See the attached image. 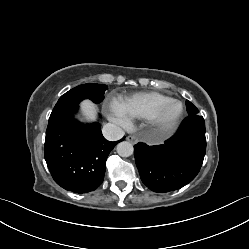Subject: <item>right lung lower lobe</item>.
Here are the masks:
<instances>
[{"mask_svg":"<svg viewBox=\"0 0 249 249\" xmlns=\"http://www.w3.org/2000/svg\"><path fill=\"white\" fill-rule=\"evenodd\" d=\"M77 110L78 106L67 108L49 118L44 155L58 185L87 193L103 182L107 157L119 141H107L98 123H79L73 118Z\"/></svg>","mask_w":249,"mask_h":249,"instance_id":"98d812e1","label":"right lung lower lobe"}]
</instances>
